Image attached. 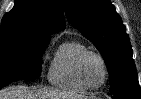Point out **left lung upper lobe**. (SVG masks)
<instances>
[{
  "mask_svg": "<svg viewBox=\"0 0 141 99\" xmlns=\"http://www.w3.org/2000/svg\"><path fill=\"white\" fill-rule=\"evenodd\" d=\"M68 21L102 54L115 97L141 98L129 36L110 0H63Z\"/></svg>",
  "mask_w": 141,
  "mask_h": 99,
  "instance_id": "left-lung-upper-lobe-1",
  "label": "left lung upper lobe"
}]
</instances>
